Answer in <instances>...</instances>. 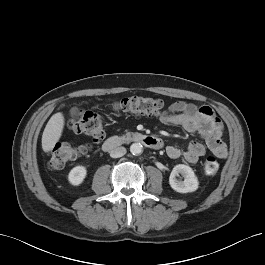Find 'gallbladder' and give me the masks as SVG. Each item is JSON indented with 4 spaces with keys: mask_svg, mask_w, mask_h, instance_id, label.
Masks as SVG:
<instances>
[{
    "mask_svg": "<svg viewBox=\"0 0 265 265\" xmlns=\"http://www.w3.org/2000/svg\"><path fill=\"white\" fill-rule=\"evenodd\" d=\"M79 114H80V112H79L78 108L73 107L70 109V115L72 117H77V116H79Z\"/></svg>",
    "mask_w": 265,
    "mask_h": 265,
    "instance_id": "bac80fb5",
    "label": "gallbladder"
}]
</instances>
